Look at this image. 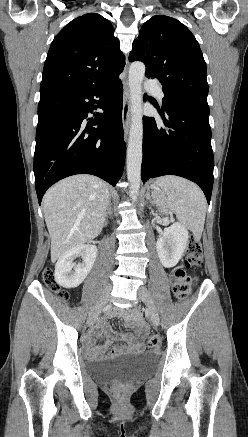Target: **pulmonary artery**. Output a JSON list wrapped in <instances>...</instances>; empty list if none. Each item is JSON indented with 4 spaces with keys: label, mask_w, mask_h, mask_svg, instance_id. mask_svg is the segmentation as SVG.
Here are the masks:
<instances>
[{
    "label": "pulmonary artery",
    "mask_w": 248,
    "mask_h": 437,
    "mask_svg": "<svg viewBox=\"0 0 248 437\" xmlns=\"http://www.w3.org/2000/svg\"><path fill=\"white\" fill-rule=\"evenodd\" d=\"M145 89L147 91L153 93L154 95H156L158 97V99L161 101L164 98V93L161 90V88L159 86L155 85L154 83H152L151 81L145 82Z\"/></svg>",
    "instance_id": "pulmonary-artery-1"
}]
</instances>
